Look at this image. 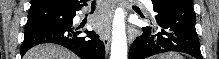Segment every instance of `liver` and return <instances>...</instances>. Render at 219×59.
Returning a JSON list of instances; mask_svg holds the SVG:
<instances>
[{"mask_svg": "<svg viewBox=\"0 0 219 59\" xmlns=\"http://www.w3.org/2000/svg\"><path fill=\"white\" fill-rule=\"evenodd\" d=\"M23 59H78V57L61 46L41 44L28 50Z\"/></svg>", "mask_w": 219, "mask_h": 59, "instance_id": "1", "label": "liver"}]
</instances>
